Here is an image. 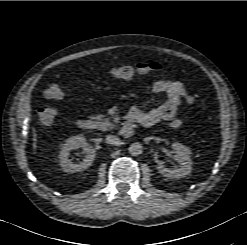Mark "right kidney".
<instances>
[{"label": "right kidney", "instance_id": "right-kidney-1", "mask_svg": "<svg viewBox=\"0 0 247 245\" xmlns=\"http://www.w3.org/2000/svg\"><path fill=\"white\" fill-rule=\"evenodd\" d=\"M80 147L86 154L85 158L82 162L74 164L71 160H69L70 151ZM94 158L95 149L86 142V139L82 135H76L67 139L66 143L63 145L59 155V162L65 172L74 173L90 167L94 161Z\"/></svg>", "mask_w": 247, "mask_h": 245}]
</instances>
